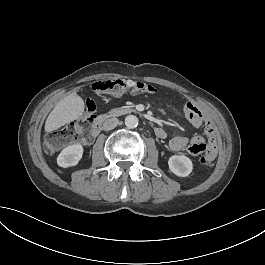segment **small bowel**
Wrapping results in <instances>:
<instances>
[{"label":"small bowel","instance_id":"1","mask_svg":"<svg viewBox=\"0 0 265 265\" xmlns=\"http://www.w3.org/2000/svg\"><path fill=\"white\" fill-rule=\"evenodd\" d=\"M186 118L195 127L206 125L209 141L206 142L201 136L184 137L174 136L169 140V148L174 152H186L192 156L204 154L212 162L217 155L216 135L213 124L204 113L192 102H187L183 108Z\"/></svg>","mask_w":265,"mask_h":265}]
</instances>
